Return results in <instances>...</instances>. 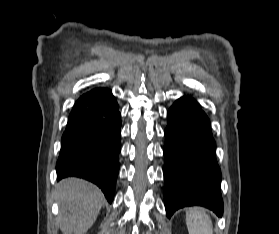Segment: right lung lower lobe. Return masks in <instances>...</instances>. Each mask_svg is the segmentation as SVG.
<instances>
[{
	"label": "right lung lower lobe",
	"mask_w": 279,
	"mask_h": 234,
	"mask_svg": "<svg viewBox=\"0 0 279 234\" xmlns=\"http://www.w3.org/2000/svg\"><path fill=\"white\" fill-rule=\"evenodd\" d=\"M121 119L112 91L95 88L75 103L62 136L57 179L76 176L97 184L112 202L119 172Z\"/></svg>",
	"instance_id": "right-lung-lower-lobe-1"
}]
</instances>
